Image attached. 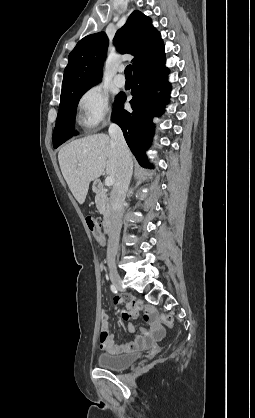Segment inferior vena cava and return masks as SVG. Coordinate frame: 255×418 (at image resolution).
Listing matches in <instances>:
<instances>
[{
	"label": "inferior vena cava",
	"instance_id": "obj_1",
	"mask_svg": "<svg viewBox=\"0 0 255 418\" xmlns=\"http://www.w3.org/2000/svg\"><path fill=\"white\" fill-rule=\"evenodd\" d=\"M108 131L118 152V171L111 193V224L107 246V259L112 261L117 254L122 227L123 202L133 172V161L121 128L117 124L111 123Z\"/></svg>",
	"mask_w": 255,
	"mask_h": 418
}]
</instances>
